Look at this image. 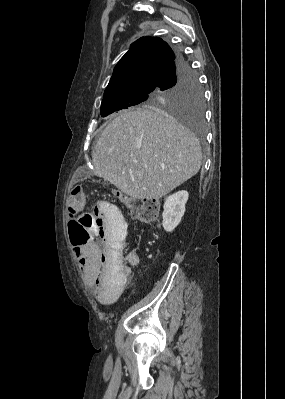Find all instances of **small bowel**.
Instances as JSON below:
<instances>
[{"mask_svg":"<svg viewBox=\"0 0 285 399\" xmlns=\"http://www.w3.org/2000/svg\"><path fill=\"white\" fill-rule=\"evenodd\" d=\"M86 226L100 236V242L76 246L74 251L85 280L93 285L97 301L107 305L119 297L125 285L118 267L110 265L108 249L122 247L128 236V224L111 203L97 201L92 208V220ZM137 260L133 253L131 264L135 265Z\"/></svg>","mask_w":285,"mask_h":399,"instance_id":"small-bowel-1","label":"small bowel"}]
</instances>
